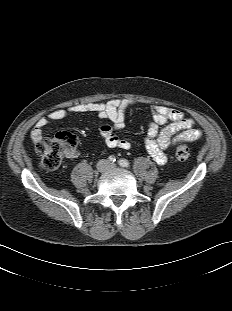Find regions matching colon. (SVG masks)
<instances>
[{"mask_svg": "<svg viewBox=\"0 0 232 311\" xmlns=\"http://www.w3.org/2000/svg\"><path fill=\"white\" fill-rule=\"evenodd\" d=\"M76 144V138L69 132H61L50 138H43L36 143V152L40 157L41 166L46 170L57 169L63 158L69 154ZM175 155L178 160L185 161L190 156L187 145L179 143Z\"/></svg>", "mask_w": 232, "mask_h": 311, "instance_id": "colon-1", "label": "colon"}]
</instances>
